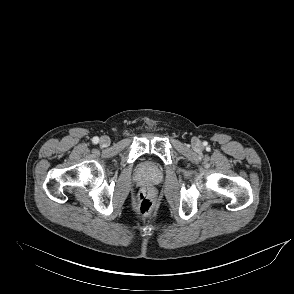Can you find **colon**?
Instances as JSON below:
<instances>
[{
	"instance_id": "obj_1",
	"label": "colon",
	"mask_w": 294,
	"mask_h": 294,
	"mask_svg": "<svg viewBox=\"0 0 294 294\" xmlns=\"http://www.w3.org/2000/svg\"><path fill=\"white\" fill-rule=\"evenodd\" d=\"M156 201L155 190L151 187L144 188L138 197L137 211L142 216H148L154 209Z\"/></svg>"
}]
</instances>
